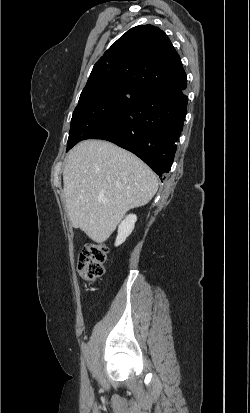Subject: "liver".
I'll return each instance as SVG.
<instances>
[{
    "label": "liver",
    "instance_id": "obj_1",
    "mask_svg": "<svg viewBox=\"0 0 250 413\" xmlns=\"http://www.w3.org/2000/svg\"><path fill=\"white\" fill-rule=\"evenodd\" d=\"M158 190L156 174L137 156L104 140H85L68 154L63 191L71 225L106 241L130 209Z\"/></svg>",
    "mask_w": 250,
    "mask_h": 413
}]
</instances>
